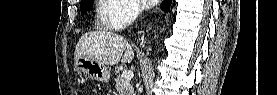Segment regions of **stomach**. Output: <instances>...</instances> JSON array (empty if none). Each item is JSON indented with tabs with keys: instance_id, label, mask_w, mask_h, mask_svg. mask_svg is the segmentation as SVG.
Returning a JSON list of instances; mask_svg holds the SVG:
<instances>
[{
	"instance_id": "0dacf381",
	"label": "stomach",
	"mask_w": 277,
	"mask_h": 95,
	"mask_svg": "<svg viewBox=\"0 0 277 95\" xmlns=\"http://www.w3.org/2000/svg\"><path fill=\"white\" fill-rule=\"evenodd\" d=\"M74 69L76 72L100 82H108L110 79L107 66L89 56H80L75 59Z\"/></svg>"
}]
</instances>
